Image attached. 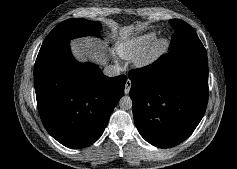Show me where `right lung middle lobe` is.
Wrapping results in <instances>:
<instances>
[{"instance_id":"obj_1","label":"right lung middle lobe","mask_w":237,"mask_h":169,"mask_svg":"<svg viewBox=\"0 0 237 169\" xmlns=\"http://www.w3.org/2000/svg\"><path fill=\"white\" fill-rule=\"evenodd\" d=\"M101 24L97 21L85 19H69L57 25L46 37L43 43H49L60 40H70L72 38L95 35Z\"/></svg>"}]
</instances>
